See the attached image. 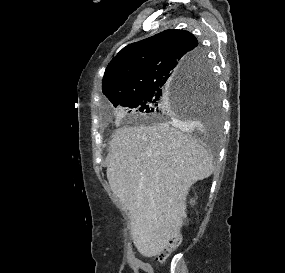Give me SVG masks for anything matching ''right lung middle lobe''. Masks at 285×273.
Segmentation results:
<instances>
[{"label":"right lung middle lobe","instance_id":"obj_1","mask_svg":"<svg viewBox=\"0 0 285 273\" xmlns=\"http://www.w3.org/2000/svg\"><path fill=\"white\" fill-rule=\"evenodd\" d=\"M120 105L157 118L201 117L208 120L215 131L220 128L218 83L207 60L200 72L171 84L155 86Z\"/></svg>","mask_w":285,"mask_h":273}]
</instances>
